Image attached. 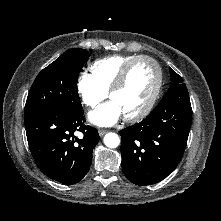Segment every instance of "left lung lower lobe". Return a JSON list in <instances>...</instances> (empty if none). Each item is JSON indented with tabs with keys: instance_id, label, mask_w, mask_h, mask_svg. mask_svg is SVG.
I'll return each instance as SVG.
<instances>
[{
	"instance_id": "0a47b994",
	"label": "left lung lower lobe",
	"mask_w": 221,
	"mask_h": 221,
	"mask_svg": "<svg viewBox=\"0 0 221 221\" xmlns=\"http://www.w3.org/2000/svg\"><path fill=\"white\" fill-rule=\"evenodd\" d=\"M189 94L166 93L148 117L119 131L122 171L136 185L166 178L179 164L191 127Z\"/></svg>"
}]
</instances>
